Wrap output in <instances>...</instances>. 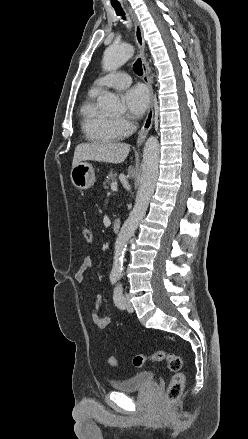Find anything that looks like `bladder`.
Segmentation results:
<instances>
[{
	"instance_id": "bladder-1",
	"label": "bladder",
	"mask_w": 248,
	"mask_h": 439,
	"mask_svg": "<svg viewBox=\"0 0 248 439\" xmlns=\"http://www.w3.org/2000/svg\"><path fill=\"white\" fill-rule=\"evenodd\" d=\"M153 383L154 377L151 371H140L128 378L112 381L110 385L116 391L129 393L149 387Z\"/></svg>"
}]
</instances>
